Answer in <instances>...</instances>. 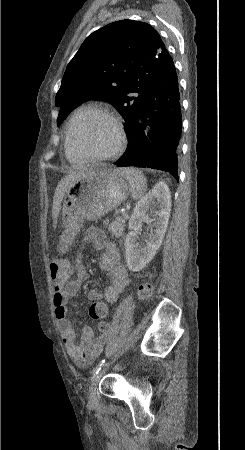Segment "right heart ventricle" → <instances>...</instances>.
I'll return each instance as SVG.
<instances>
[{"mask_svg": "<svg viewBox=\"0 0 245 450\" xmlns=\"http://www.w3.org/2000/svg\"><path fill=\"white\" fill-rule=\"evenodd\" d=\"M94 110H97V108L94 107L93 105L81 106L78 109H76L72 118L73 117L82 118V117L88 115L89 113L93 112ZM65 154H66L67 158L71 161L81 162V163L86 161L85 157H83L77 151H75L73 149L71 142H70L68 130H67L66 137H65Z\"/></svg>", "mask_w": 245, "mask_h": 450, "instance_id": "right-heart-ventricle-1", "label": "right heart ventricle"}]
</instances>
